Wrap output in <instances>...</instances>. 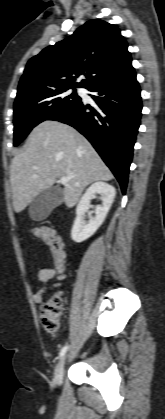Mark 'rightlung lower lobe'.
Instances as JSON below:
<instances>
[{
	"label": "right lung lower lobe",
	"instance_id": "obj_1",
	"mask_svg": "<svg viewBox=\"0 0 165 419\" xmlns=\"http://www.w3.org/2000/svg\"><path fill=\"white\" fill-rule=\"evenodd\" d=\"M88 90L92 92L96 109L80 100L47 120L68 124L83 134L111 169L125 193L142 110L134 68L129 63Z\"/></svg>",
	"mask_w": 165,
	"mask_h": 419
}]
</instances>
